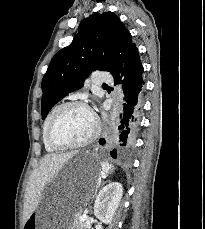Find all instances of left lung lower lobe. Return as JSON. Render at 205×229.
Segmentation results:
<instances>
[{"mask_svg":"<svg viewBox=\"0 0 205 229\" xmlns=\"http://www.w3.org/2000/svg\"><path fill=\"white\" fill-rule=\"evenodd\" d=\"M143 67L137 47L132 43L121 56L117 68L112 73L116 83H122L125 104L120 121L117 149L110 152L113 158L117 155L127 156L135 145L143 106ZM123 78V80H119ZM104 139L100 143H104Z\"/></svg>","mask_w":205,"mask_h":229,"instance_id":"1","label":"left lung lower lobe"}]
</instances>
